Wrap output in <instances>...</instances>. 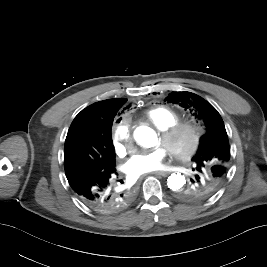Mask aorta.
I'll use <instances>...</instances> for the list:
<instances>
[{
    "label": "aorta",
    "instance_id": "1",
    "mask_svg": "<svg viewBox=\"0 0 267 267\" xmlns=\"http://www.w3.org/2000/svg\"><path fill=\"white\" fill-rule=\"evenodd\" d=\"M134 139L136 142L146 148L155 146L157 135L153 129L147 126H139L134 131ZM186 184L185 176L181 173H173L167 179V186L172 191H179Z\"/></svg>",
    "mask_w": 267,
    "mask_h": 267
}]
</instances>
